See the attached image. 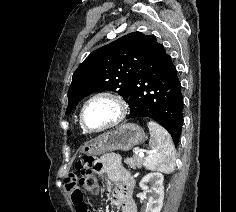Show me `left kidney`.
I'll use <instances>...</instances> for the list:
<instances>
[{"label":"left kidney","instance_id":"1","mask_svg":"<svg viewBox=\"0 0 236 212\" xmlns=\"http://www.w3.org/2000/svg\"><path fill=\"white\" fill-rule=\"evenodd\" d=\"M164 177L161 173H149L140 181V188L151 193L146 212H160L164 199Z\"/></svg>","mask_w":236,"mask_h":212}]
</instances>
